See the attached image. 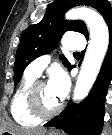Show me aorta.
<instances>
[{
  "mask_svg": "<svg viewBox=\"0 0 112 135\" xmlns=\"http://www.w3.org/2000/svg\"><path fill=\"white\" fill-rule=\"evenodd\" d=\"M66 19L83 20L90 32L89 44L73 92V100L78 103L86 98L98 76L108 49L109 31L103 17L86 7L70 10Z\"/></svg>",
  "mask_w": 112,
  "mask_h": 135,
  "instance_id": "aorta-1",
  "label": "aorta"
}]
</instances>
